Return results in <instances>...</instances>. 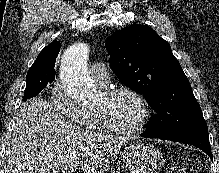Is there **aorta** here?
Masks as SVG:
<instances>
[{"instance_id":"aorta-1","label":"aorta","mask_w":219,"mask_h":173,"mask_svg":"<svg viewBox=\"0 0 219 173\" xmlns=\"http://www.w3.org/2000/svg\"><path fill=\"white\" fill-rule=\"evenodd\" d=\"M88 45L76 43L70 46L61 60V80L67 93L75 100L91 101L98 94L94 81L87 71Z\"/></svg>"}]
</instances>
